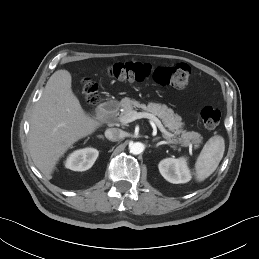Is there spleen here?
Here are the masks:
<instances>
[{
	"label": "spleen",
	"instance_id": "1",
	"mask_svg": "<svg viewBox=\"0 0 259 259\" xmlns=\"http://www.w3.org/2000/svg\"><path fill=\"white\" fill-rule=\"evenodd\" d=\"M224 151L225 142L222 136H213L206 142L195 163L198 182L204 181L217 169Z\"/></svg>",
	"mask_w": 259,
	"mask_h": 259
}]
</instances>
